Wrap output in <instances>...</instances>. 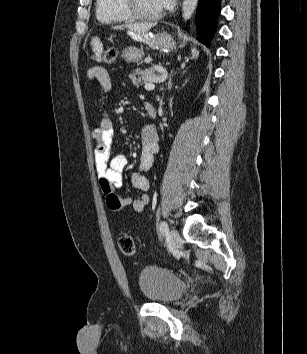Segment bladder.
<instances>
[{
  "label": "bladder",
  "mask_w": 307,
  "mask_h": 354,
  "mask_svg": "<svg viewBox=\"0 0 307 354\" xmlns=\"http://www.w3.org/2000/svg\"><path fill=\"white\" fill-rule=\"evenodd\" d=\"M138 286L145 299L156 303L175 302L186 288L178 275L157 265L146 266L140 271Z\"/></svg>",
  "instance_id": "obj_1"
}]
</instances>
